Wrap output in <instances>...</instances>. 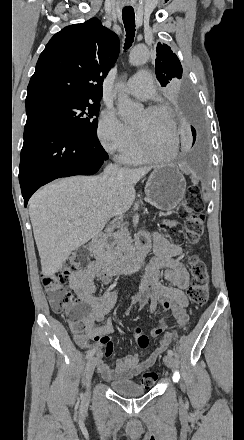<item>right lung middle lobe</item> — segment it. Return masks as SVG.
Returning <instances> with one entry per match:
<instances>
[{
	"label": "right lung middle lobe",
	"mask_w": 244,
	"mask_h": 440,
	"mask_svg": "<svg viewBox=\"0 0 244 440\" xmlns=\"http://www.w3.org/2000/svg\"><path fill=\"white\" fill-rule=\"evenodd\" d=\"M100 99L45 95L25 100L27 122H47L75 134L96 138Z\"/></svg>",
	"instance_id": "1"
}]
</instances>
